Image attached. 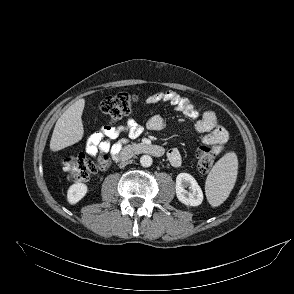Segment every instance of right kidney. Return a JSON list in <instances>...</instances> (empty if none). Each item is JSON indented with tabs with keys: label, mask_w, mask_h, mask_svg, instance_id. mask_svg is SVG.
I'll use <instances>...</instances> for the list:
<instances>
[{
	"label": "right kidney",
	"mask_w": 294,
	"mask_h": 294,
	"mask_svg": "<svg viewBox=\"0 0 294 294\" xmlns=\"http://www.w3.org/2000/svg\"><path fill=\"white\" fill-rule=\"evenodd\" d=\"M88 187L84 183H75L71 185L67 192V201L70 204L78 203L87 193Z\"/></svg>",
	"instance_id": "ca27d5eb"
}]
</instances>
